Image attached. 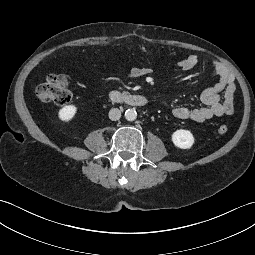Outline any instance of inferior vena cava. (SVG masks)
I'll use <instances>...</instances> for the list:
<instances>
[{
	"label": "inferior vena cava",
	"instance_id": "inferior-vena-cava-1",
	"mask_svg": "<svg viewBox=\"0 0 255 255\" xmlns=\"http://www.w3.org/2000/svg\"><path fill=\"white\" fill-rule=\"evenodd\" d=\"M121 117V111L117 108H112L110 111H109V119L112 120V121H117L119 120Z\"/></svg>",
	"mask_w": 255,
	"mask_h": 255
}]
</instances>
